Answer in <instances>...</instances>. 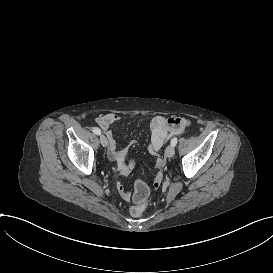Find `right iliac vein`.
<instances>
[{"mask_svg": "<svg viewBox=\"0 0 273 273\" xmlns=\"http://www.w3.org/2000/svg\"><path fill=\"white\" fill-rule=\"evenodd\" d=\"M100 142H101V144H102L103 147H107L108 146V140H107L106 136L100 135Z\"/></svg>", "mask_w": 273, "mask_h": 273, "instance_id": "63e3f726", "label": "right iliac vein"}]
</instances>
